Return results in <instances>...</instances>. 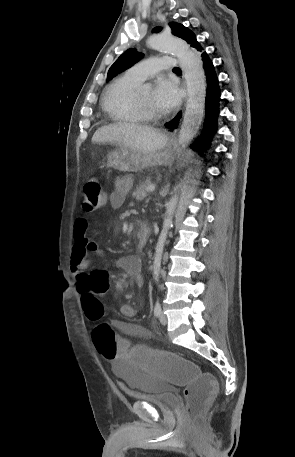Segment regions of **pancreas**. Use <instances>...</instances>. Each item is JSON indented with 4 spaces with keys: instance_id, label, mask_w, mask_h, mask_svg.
<instances>
[{
    "instance_id": "cf45deb5",
    "label": "pancreas",
    "mask_w": 295,
    "mask_h": 457,
    "mask_svg": "<svg viewBox=\"0 0 295 457\" xmlns=\"http://www.w3.org/2000/svg\"><path fill=\"white\" fill-rule=\"evenodd\" d=\"M150 185L149 181L141 183L132 193V196L137 200H143L147 196V187Z\"/></svg>"
}]
</instances>
